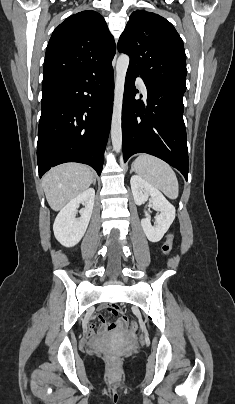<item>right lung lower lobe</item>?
Here are the masks:
<instances>
[{
    "label": "right lung lower lobe",
    "mask_w": 235,
    "mask_h": 404,
    "mask_svg": "<svg viewBox=\"0 0 235 404\" xmlns=\"http://www.w3.org/2000/svg\"><path fill=\"white\" fill-rule=\"evenodd\" d=\"M42 91L37 143L40 177L65 162L88 164L100 175L112 117V65L43 81Z\"/></svg>",
    "instance_id": "1"
}]
</instances>
